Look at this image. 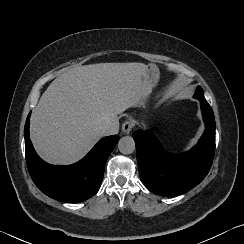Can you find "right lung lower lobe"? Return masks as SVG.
<instances>
[{
	"mask_svg": "<svg viewBox=\"0 0 244 244\" xmlns=\"http://www.w3.org/2000/svg\"><path fill=\"white\" fill-rule=\"evenodd\" d=\"M30 114L24 128L25 153L35 185L47 196L63 202L77 203L91 198L100 188L105 163L119 137L102 138L82 160L73 165H50L37 155L29 138Z\"/></svg>",
	"mask_w": 244,
	"mask_h": 244,
	"instance_id": "right-lung-lower-lobe-1",
	"label": "right lung lower lobe"
}]
</instances>
